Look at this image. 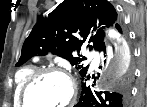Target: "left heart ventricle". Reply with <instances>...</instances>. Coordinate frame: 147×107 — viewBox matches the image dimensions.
<instances>
[{
    "label": "left heart ventricle",
    "instance_id": "left-heart-ventricle-1",
    "mask_svg": "<svg viewBox=\"0 0 147 107\" xmlns=\"http://www.w3.org/2000/svg\"><path fill=\"white\" fill-rule=\"evenodd\" d=\"M70 95V85L59 75H46L29 90L27 101L30 107L61 106Z\"/></svg>",
    "mask_w": 147,
    "mask_h": 107
}]
</instances>
